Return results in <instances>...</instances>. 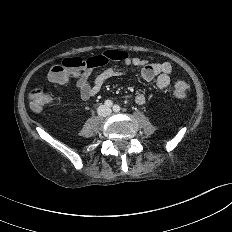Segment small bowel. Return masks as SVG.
Here are the masks:
<instances>
[{
    "label": "small bowel",
    "mask_w": 232,
    "mask_h": 232,
    "mask_svg": "<svg viewBox=\"0 0 232 232\" xmlns=\"http://www.w3.org/2000/svg\"><path fill=\"white\" fill-rule=\"evenodd\" d=\"M94 58L96 60L92 66L73 77L80 97L84 101L96 96L107 80L124 75L123 71L114 68H107L91 80L93 68L104 66L112 61L120 62L126 66H132L139 69L142 78L146 81L155 79L156 88L158 90H164L170 85L173 69L171 64L168 62L158 63L140 57H130L126 51L117 49L105 51L94 56ZM48 79L55 87L59 88L65 86L70 80L57 82L52 80L49 74ZM134 100L138 105H144L147 102V97L144 93H138L135 95Z\"/></svg>",
    "instance_id": "c3829d8e"
}]
</instances>
